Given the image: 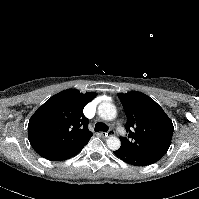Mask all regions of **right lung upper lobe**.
I'll return each instance as SVG.
<instances>
[{"instance_id":"cb5924a9","label":"right lung upper lobe","mask_w":199,"mask_h":199,"mask_svg":"<svg viewBox=\"0 0 199 199\" xmlns=\"http://www.w3.org/2000/svg\"><path fill=\"white\" fill-rule=\"evenodd\" d=\"M95 96L68 89L48 99L29 120L28 137L34 150L46 158L88 142L93 133L83 108Z\"/></svg>"}]
</instances>
